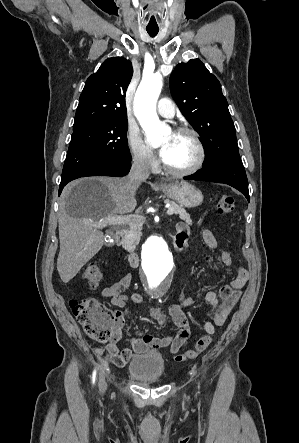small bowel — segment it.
<instances>
[{
	"mask_svg": "<svg viewBox=\"0 0 299 443\" xmlns=\"http://www.w3.org/2000/svg\"><path fill=\"white\" fill-rule=\"evenodd\" d=\"M189 235V226L185 222H178L176 225L175 239L184 241L187 244ZM202 237L209 249L215 250L218 248L216 237L211 230H204ZM220 259L225 267H230L233 263L232 256L228 251H222ZM248 279V271L240 266L232 281L222 286L218 293L214 291H208L206 293L205 300L213 310L211 321H207L204 325V329L208 334L215 332V326H223L226 323L227 318L237 305L241 296V289L246 285ZM132 280L133 277L131 274H125L118 281L105 287L101 292L104 298L110 299L114 307L124 308V311L115 312L117 315V323L114 336L106 347L111 360L119 366L126 364L132 357L133 352L169 347L171 353H177L188 344L190 338L189 323L185 310L193 303V299L185 293H182L179 297V302L171 305L168 309L169 316L177 328L175 333L164 337H154L144 334L131 340L130 349H120L118 342L122 337V330L129 315V305L136 306L143 301L140 293H133L130 297L125 295L124 292L131 285ZM151 317L160 326L167 324V316L158 307L151 310Z\"/></svg>",
	"mask_w": 299,
	"mask_h": 443,
	"instance_id": "obj_1",
	"label": "small bowel"
}]
</instances>
